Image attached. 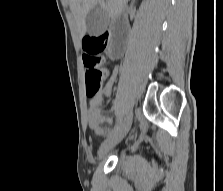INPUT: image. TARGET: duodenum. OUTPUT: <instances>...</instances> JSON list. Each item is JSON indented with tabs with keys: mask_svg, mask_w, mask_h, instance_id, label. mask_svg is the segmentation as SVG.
Here are the masks:
<instances>
[{
	"mask_svg": "<svg viewBox=\"0 0 223 191\" xmlns=\"http://www.w3.org/2000/svg\"><path fill=\"white\" fill-rule=\"evenodd\" d=\"M127 32H128V28L125 25V23H123L116 29V35L119 38V43L116 45L114 50L111 52V56L113 58H117L121 55L122 50H123V41L126 38Z\"/></svg>",
	"mask_w": 223,
	"mask_h": 191,
	"instance_id": "duodenum-1",
	"label": "duodenum"
}]
</instances>
